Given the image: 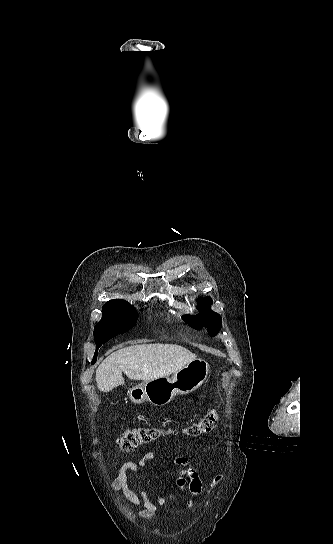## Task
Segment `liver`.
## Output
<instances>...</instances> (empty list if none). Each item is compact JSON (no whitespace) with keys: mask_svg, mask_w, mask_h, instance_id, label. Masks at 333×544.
<instances>
[{"mask_svg":"<svg viewBox=\"0 0 333 544\" xmlns=\"http://www.w3.org/2000/svg\"><path fill=\"white\" fill-rule=\"evenodd\" d=\"M197 356L176 344H140L121 348L105 358L96 370L97 387L112 391L124 384L122 372L133 380L145 382L169 376Z\"/></svg>","mask_w":333,"mask_h":544,"instance_id":"6515ba94","label":"liver"}]
</instances>
